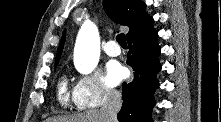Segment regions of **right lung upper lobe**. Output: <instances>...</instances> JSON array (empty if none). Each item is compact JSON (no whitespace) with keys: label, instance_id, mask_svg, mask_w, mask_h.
<instances>
[{"label":"right lung upper lobe","instance_id":"obj_1","mask_svg":"<svg viewBox=\"0 0 221 122\" xmlns=\"http://www.w3.org/2000/svg\"><path fill=\"white\" fill-rule=\"evenodd\" d=\"M104 9L108 16L116 23L129 27L127 40L143 32L153 22L146 12V4L141 0H104ZM65 41V31L59 44L56 62L58 64Z\"/></svg>","mask_w":221,"mask_h":122}]
</instances>
